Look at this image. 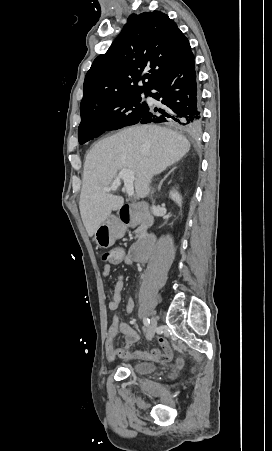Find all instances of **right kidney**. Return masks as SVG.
<instances>
[{"label": "right kidney", "mask_w": 272, "mask_h": 451, "mask_svg": "<svg viewBox=\"0 0 272 451\" xmlns=\"http://www.w3.org/2000/svg\"><path fill=\"white\" fill-rule=\"evenodd\" d=\"M169 198H171V200H173V202H176V204H178V206H181L182 200H181V196H180L179 192H177V190H171V192L169 194Z\"/></svg>", "instance_id": "1"}]
</instances>
